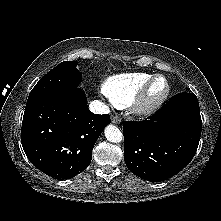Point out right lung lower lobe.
Returning <instances> with one entry per match:
<instances>
[{
	"label": "right lung lower lobe",
	"mask_w": 221,
	"mask_h": 221,
	"mask_svg": "<svg viewBox=\"0 0 221 221\" xmlns=\"http://www.w3.org/2000/svg\"><path fill=\"white\" fill-rule=\"evenodd\" d=\"M109 115L93 114L78 88L27 101L21 143L31 163L44 173L72 178L92 159V149Z\"/></svg>",
	"instance_id": "98d812e1"
}]
</instances>
